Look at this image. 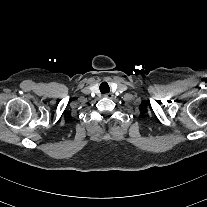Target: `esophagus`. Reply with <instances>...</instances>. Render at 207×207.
Listing matches in <instances>:
<instances>
[{
	"label": "esophagus",
	"mask_w": 207,
	"mask_h": 207,
	"mask_svg": "<svg viewBox=\"0 0 207 207\" xmlns=\"http://www.w3.org/2000/svg\"><path fill=\"white\" fill-rule=\"evenodd\" d=\"M103 96L106 97V98H111L112 94L111 93H105Z\"/></svg>",
	"instance_id": "34e87169"
}]
</instances>
